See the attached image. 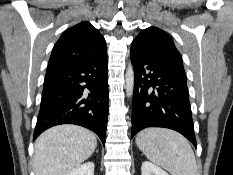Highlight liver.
<instances>
[{
    "instance_id": "1",
    "label": "liver",
    "mask_w": 233,
    "mask_h": 175,
    "mask_svg": "<svg viewBox=\"0 0 233 175\" xmlns=\"http://www.w3.org/2000/svg\"><path fill=\"white\" fill-rule=\"evenodd\" d=\"M94 133L81 126L64 124L43 132L35 142V175H68L94 152Z\"/></svg>"
}]
</instances>
